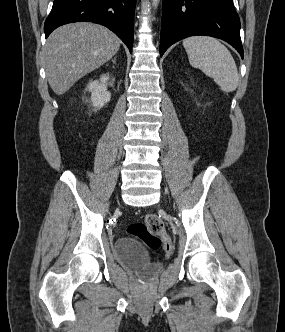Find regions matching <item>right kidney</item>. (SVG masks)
Listing matches in <instances>:
<instances>
[{"mask_svg": "<svg viewBox=\"0 0 285 332\" xmlns=\"http://www.w3.org/2000/svg\"><path fill=\"white\" fill-rule=\"evenodd\" d=\"M109 75H102L100 80L91 81L87 90L91 92V101L94 107L101 108L110 101L111 94L107 90Z\"/></svg>", "mask_w": 285, "mask_h": 332, "instance_id": "1", "label": "right kidney"}]
</instances>
